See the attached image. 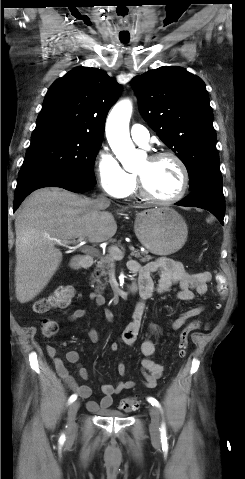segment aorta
Here are the masks:
<instances>
[{"instance_id": "obj_1", "label": "aorta", "mask_w": 245, "mask_h": 479, "mask_svg": "<svg viewBox=\"0 0 245 479\" xmlns=\"http://www.w3.org/2000/svg\"><path fill=\"white\" fill-rule=\"evenodd\" d=\"M132 114V103L125 99L118 102L111 110L106 122L108 143L127 171L134 170L139 164V154L129 135V121Z\"/></svg>"}]
</instances>
